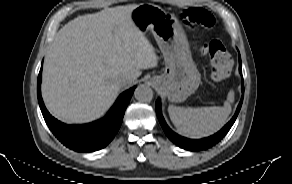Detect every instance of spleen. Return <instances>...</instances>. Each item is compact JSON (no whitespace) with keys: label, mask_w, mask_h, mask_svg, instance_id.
Segmentation results:
<instances>
[{"label":"spleen","mask_w":292,"mask_h":184,"mask_svg":"<svg viewBox=\"0 0 292 184\" xmlns=\"http://www.w3.org/2000/svg\"><path fill=\"white\" fill-rule=\"evenodd\" d=\"M234 93H228L223 107L184 108L170 105L168 113L177 131L186 137L198 139L217 132L231 112Z\"/></svg>","instance_id":"obj_1"}]
</instances>
